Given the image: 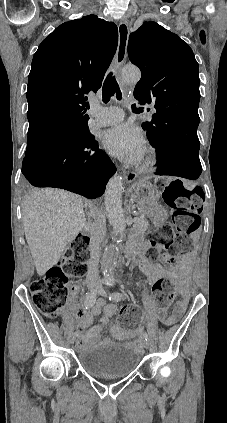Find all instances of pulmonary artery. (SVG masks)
I'll list each match as a JSON object with an SVG mask.
<instances>
[{
    "label": "pulmonary artery",
    "mask_w": 227,
    "mask_h": 423,
    "mask_svg": "<svg viewBox=\"0 0 227 423\" xmlns=\"http://www.w3.org/2000/svg\"><path fill=\"white\" fill-rule=\"evenodd\" d=\"M155 109H152V113ZM95 117L94 124L97 127H107L120 124L123 122L125 114L124 111L119 107H97L92 110ZM151 114L147 115L145 119H150Z\"/></svg>",
    "instance_id": "obj_1"
}]
</instances>
